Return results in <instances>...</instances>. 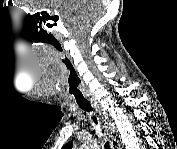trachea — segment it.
I'll return each instance as SVG.
<instances>
[{
  "label": "trachea",
  "instance_id": "3493384b",
  "mask_svg": "<svg viewBox=\"0 0 177 149\" xmlns=\"http://www.w3.org/2000/svg\"><path fill=\"white\" fill-rule=\"evenodd\" d=\"M74 96H75V98H76V102H77V105L82 109V110H84V111H86V112H92V107H91V104H90V102H88V101H86V102H84V103H81V102H79L78 100H79V98H83V95L79 92V91H74ZM92 119H93V121L96 123V125L98 124V122H97V118H96V116H92ZM104 147H105V149H110V146H109V142L107 141V142H105V144H104Z\"/></svg>",
  "mask_w": 177,
  "mask_h": 149
}]
</instances>
